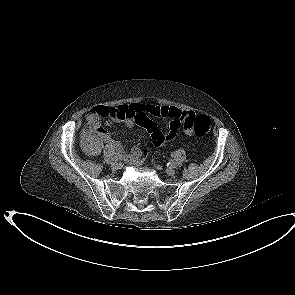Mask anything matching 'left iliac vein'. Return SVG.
Listing matches in <instances>:
<instances>
[{"label":"left iliac vein","mask_w":295,"mask_h":295,"mask_svg":"<svg viewBox=\"0 0 295 295\" xmlns=\"http://www.w3.org/2000/svg\"><path fill=\"white\" fill-rule=\"evenodd\" d=\"M166 173L170 176H173L175 174V170L172 167H168L166 169Z\"/></svg>","instance_id":"4c4485c4"}]
</instances>
